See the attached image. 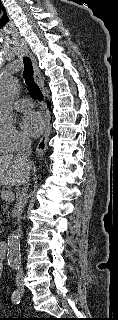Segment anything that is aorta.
I'll list each match as a JSON object with an SVG mask.
<instances>
[{"instance_id": "obj_1", "label": "aorta", "mask_w": 118, "mask_h": 320, "mask_svg": "<svg viewBox=\"0 0 118 320\" xmlns=\"http://www.w3.org/2000/svg\"><path fill=\"white\" fill-rule=\"evenodd\" d=\"M18 91V80L15 76L0 78V126L10 127L14 121L12 103ZM7 260L11 268L17 269L21 264L20 238L10 233L7 240Z\"/></svg>"}]
</instances>
